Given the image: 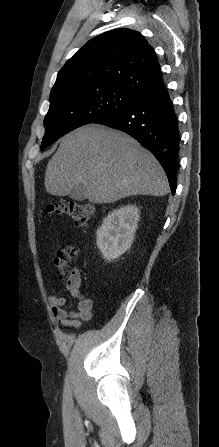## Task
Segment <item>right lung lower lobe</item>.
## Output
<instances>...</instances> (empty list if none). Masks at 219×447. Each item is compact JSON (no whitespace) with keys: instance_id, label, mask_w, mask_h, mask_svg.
<instances>
[{"instance_id":"98d812e1","label":"right lung lower lobe","mask_w":219,"mask_h":447,"mask_svg":"<svg viewBox=\"0 0 219 447\" xmlns=\"http://www.w3.org/2000/svg\"><path fill=\"white\" fill-rule=\"evenodd\" d=\"M96 123L129 134L151 151L164 168L174 195L180 133L178 117L164 86Z\"/></svg>"}]
</instances>
